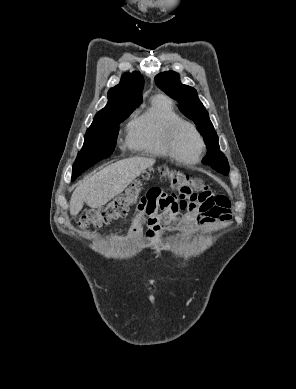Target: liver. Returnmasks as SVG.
I'll return each mask as SVG.
<instances>
[{
	"instance_id": "1",
	"label": "liver",
	"mask_w": 296,
	"mask_h": 389,
	"mask_svg": "<svg viewBox=\"0 0 296 389\" xmlns=\"http://www.w3.org/2000/svg\"><path fill=\"white\" fill-rule=\"evenodd\" d=\"M154 163L153 158L131 157L101 169L74 190L70 199V214L77 215L84 203L91 208H100L107 204Z\"/></svg>"
}]
</instances>
